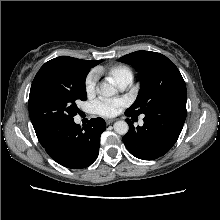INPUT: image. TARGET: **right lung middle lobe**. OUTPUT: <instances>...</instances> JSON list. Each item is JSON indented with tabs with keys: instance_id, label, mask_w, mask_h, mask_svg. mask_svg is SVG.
Returning a JSON list of instances; mask_svg holds the SVG:
<instances>
[{
	"instance_id": "right-lung-middle-lobe-1",
	"label": "right lung middle lobe",
	"mask_w": 220,
	"mask_h": 220,
	"mask_svg": "<svg viewBox=\"0 0 220 220\" xmlns=\"http://www.w3.org/2000/svg\"><path fill=\"white\" fill-rule=\"evenodd\" d=\"M101 60L98 61L100 63ZM88 66L50 60L36 74L29 95V116L42 139L73 120L78 101L87 99Z\"/></svg>"
}]
</instances>
